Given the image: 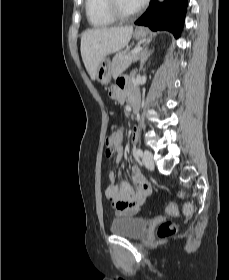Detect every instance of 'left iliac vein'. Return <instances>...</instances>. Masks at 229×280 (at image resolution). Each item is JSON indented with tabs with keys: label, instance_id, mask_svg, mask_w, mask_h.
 <instances>
[{
	"label": "left iliac vein",
	"instance_id": "1",
	"mask_svg": "<svg viewBox=\"0 0 229 280\" xmlns=\"http://www.w3.org/2000/svg\"><path fill=\"white\" fill-rule=\"evenodd\" d=\"M143 164L147 169L154 168L153 155L149 150H145L142 157Z\"/></svg>",
	"mask_w": 229,
	"mask_h": 280
}]
</instances>
